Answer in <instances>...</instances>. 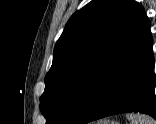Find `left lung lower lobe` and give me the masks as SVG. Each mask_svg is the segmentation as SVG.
<instances>
[{"instance_id":"obj_1","label":"left lung lower lobe","mask_w":156,"mask_h":124,"mask_svg":"<svg viewBox=\"0 0 156 124\" xmlns=\"http://www.w3.org/2000/svg\"><path fill=\"white\" fill-rule=\"evenodd\" d=\"M152 45L148 29L115 64L78 124L124 112L146 113L156 119Z\"/></svg>"}]
</instances>
